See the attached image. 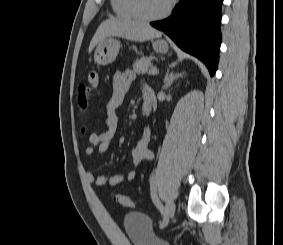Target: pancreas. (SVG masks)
Instances as JSON below:
<instances>
[{
    "label": "pancreas",
    "mask_w": 283,
    "mask_h": 245,
    "mask_svg": "<svg viewBox=\"0 0 283 245\" xmlns=\"http://www.w3.org/2000/svg\"><path fill=\"white\" fill-rule=\"evenodd\" d=\"M153 58L152 57H141L140 59H137L134 63H133V70L136 73H146L148 71V68L151 66V60Z\"/></svg>",
    "instance_id": "pancreas-1"
}]
</instances>
